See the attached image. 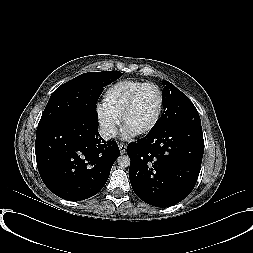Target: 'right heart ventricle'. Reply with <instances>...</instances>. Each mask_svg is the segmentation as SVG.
Returning <instances> with one entry per match:
<instances>
[{
	"mask_svg": "<svg viewBox=\"0 0 253 253\" xmlns=\"http://www.w3.org/2000/svg\"><path fill=\"white\" fill-rule=\"evenodd\" d=\"M143 83V81L132 79H124L113 83L104 92L102 105L115 115L120 116L132 92Z\"/></svg>",
	"mask_w": 253,
	"mask_h": 253,
	"instance_id": "e07e8e85",
	"label": "right heart ventricle"
}]
</instances>
